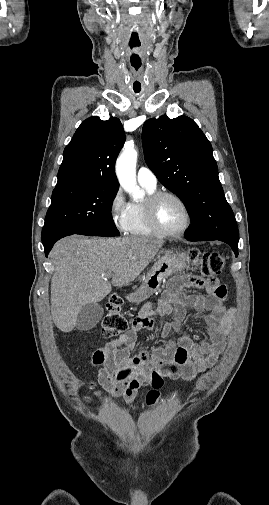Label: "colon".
<instances>
[{"label": "colon", "instance_id": "colon-1", "mask_svg": "<svg viewBox=\"0 0 269 505\" xmlns=\"http://www.w3.org/2000/svg\"><path fill=\"white\" fill-rule=\"evenodd\" d=\"M194 259L198 258L196 250L192 251ZM199 272L203 278L209 281H220L222 269L225 265L224 256L218 251L204 253L199 260ZM128 329V322L123 315L122 299L115 295L111 296L106 304V314L102 321V334L106 338L120 337ZM152 390L147 394V402L152 404L158 397V389L164 385V376L159 372H153L150 379Z\"/></svg>", "mask_w": 269, "mask_h": 505}]
</instances>
